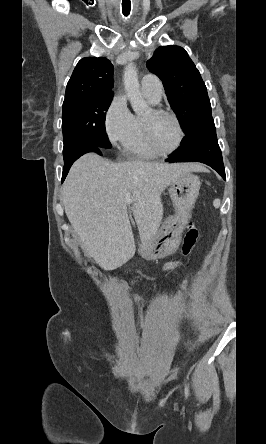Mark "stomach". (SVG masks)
<instances>
[{"mask_svg":"<svg viewBox=\"0 0 266 444\" xmlns=\"http://www.w3.org/2000/svg\"><path fill=\"white\" fill-rule=\"evenodd\" d=\"M201 182L199 178L187 173L170 184L169 195L175 208V215L168 219L156 235L147 242H142L143 256L154 259L169 253L167 248L171 240L182 232L185 222L191 216V210L199 195Z\"/></svg>","mask_w":266,"mask_h":444,"instance_id":"stomach-1","label":"stomach"}]
</instances>
